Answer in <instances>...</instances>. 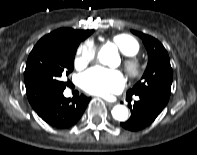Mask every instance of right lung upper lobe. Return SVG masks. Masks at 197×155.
<instances>
[{
    "instance_id": "right-lung-upper-lobe-1",
    "label": "right lung upper lobe",
    "mask_w": 197,
    "mask_h": 155,
    "mask_svg": "<svg viewBox=\"0 0 197 155\" xmlns=\"http://www.w3.org/2000/svg\"><path fill=\"white\" fill-rule=\"evenodd\" d=\"M91 31L92 30H74L71 28H61L51 32L49 35H63V36L85 39L90 34H92ZM40 106L41 105H32L34 110L38 109Z\"/></svg>"
}]
</instances>
